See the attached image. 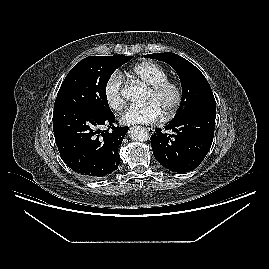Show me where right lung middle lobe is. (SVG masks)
<instances>
[{"label":"right lung middle lobe","instance_id":"right-lung-middle-lobe-1","mask_svg":"<svg viewBox=\"0 0 269 269\" xmlns=\"http://www.w3.org/2000/svg\"><path fill=\"white\" fill-rule=\"evenodd\" d=\"M132 56H89L77 63L66 76L57 94L54 109L83 107L110 112L106 86L113 72Z\"/></svg>","mask_w":269,"mask_h":269}]
</instances>
